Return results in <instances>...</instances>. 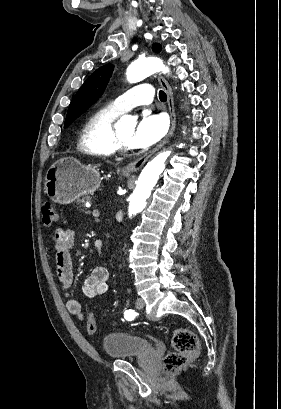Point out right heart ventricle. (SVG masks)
<instances>
[{
	"mask_svg": "<svg viewBox=\"0 0 281 409\" xmlns=\"http://www.w3.org/2000/svg\"><path fill=\"white\" fill-rule=\"evenodd\" d=\"M118 114L110 108H102L89 116L82 131V148L87 154L95 158H108L113 155L109 137Z\"/></svg>",
	"mask_w": 281,
	"mask_h": 409,
	"instance_id": "e07e8e85",
	"label": "right heart ventricle"
}]
</instances>
